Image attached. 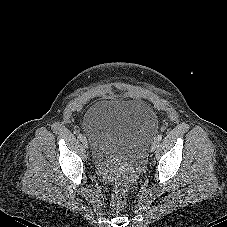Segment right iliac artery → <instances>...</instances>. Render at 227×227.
Segmentation results:
<instances>
[{
	"label": "right iliac artery",
	"mask_w": 227,
	"mask_h": 227,
	"mask_svg": "<svg viewBox=\"0 0 227 227\" xmlns=\"http://www.w3.org/2000/svg\"><path fill=\"white\" fill-rule=\"evenodd\" d=\"M78 138H79L80 140H82L84 137H83L82 134H79V135H78Z\"/></svg>",
	"instance_id": "1"
}]
</instances>
